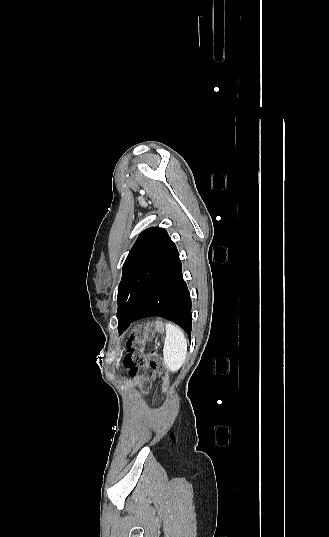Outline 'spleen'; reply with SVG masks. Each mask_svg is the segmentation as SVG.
I'll list each match as a JSON object with an SVG mask.
<instances>
[{"label": "spleen", "mask_w": 329, "mask_h": 537, "mask_svg": "<svg viewBox=\"0 0 329 537\" xmlns=\"http://www.w3.org/2000/svg\"><path fill=\"white\" fill-rule=\"evenodd\" d=\"M163 355L166 366L172 372L180 369L187 356V341L184 333L172 323L166 324Z\"/></svg>", "instance_id": "1"}]
</instances>
